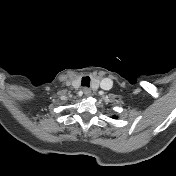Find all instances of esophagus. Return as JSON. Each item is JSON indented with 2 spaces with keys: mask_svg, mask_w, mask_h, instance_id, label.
<instances>
[{
  "mask_svg": "<svg viewBox=\"0 0 176 176\" xmlns=\"http://www.w3.org/2000/svg\"><path fill=\"white\" fill-rule=\"evenodd\" d=\"M83 93H84L85 96H90L91 91H90L89 88H84V89H83Z\"/></svg>",
  "mask_w": 176,
  "mask_h": 176,
  "instance_id": "esophagus-1",
  "label": "esophagus"
}]
</instances>
